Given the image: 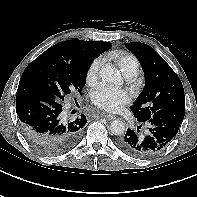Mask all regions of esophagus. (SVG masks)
I'll use <instances>...</instances> for the list:
<instances>
[{
	"instance_id": "obj_1",
	"label": "esophagus",
	"mask_w": 197,
	"mask_h": 197,
	"mask_svg": "<svg viewBox=\"0 0 197 197\" xmlns=\"http://www.w3.org/2000/svg\"><path fill=\"white\" fill-rule=\"evenodd\" d=\"M100 116L103 117V118H106L108 120H114V119H116V116L115 115L108 114V113H101Z\"/></svg>"
}]
</instances>
